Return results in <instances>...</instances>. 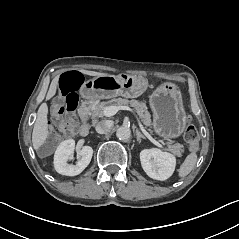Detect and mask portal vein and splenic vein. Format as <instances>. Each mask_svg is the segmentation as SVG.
<instances>
[{
    "instance_id": "18ae733b",
    "label": "portal vein and splenic vein",
    "mask_w": 239,
    "mask_h": 239,
    "mask_svg": "<svg viewBox=\"0 0 239 239\" xmlns=\"http://www.w3.org/2000/svg\"><path fill=\"white\" fill-rule=\"evenodd\" d=\"M118 109L131 111L134 118L137 119V121H138V125H139L140 130L148 137V139L151 142H153L155 145H157V147L162 148V149L165 148L164 146L159 144L158 141L153 139V137H151V135L146 131L145 127L142 124V121H141L140 117L138 116V112L132 110V108H130L128 106H108V107H105L102 110V115L105 116V117H111V116H113L117 113Z\"/></svg>"
}]
</instances>
